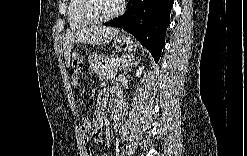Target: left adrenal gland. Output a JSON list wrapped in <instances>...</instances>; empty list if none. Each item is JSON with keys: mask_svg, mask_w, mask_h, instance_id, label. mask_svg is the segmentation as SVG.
<instances>
[{"mask_svg": "<svg viewBox=\"0 0 247 156\" xmlns=\"http://www.w3.org/2000/svg\"><path fill=\"white\" fill-rule=\"evenodd\" d=\"M139 61H135V57L132 55L129 59L122 65L123 72L126 73L130 67L133 65H138Z\"/></svg>", "mask_w": 247, "mask_h": 156, "instance_id": "obj_1", "label": "left adrenal gland"}]
</instances>
